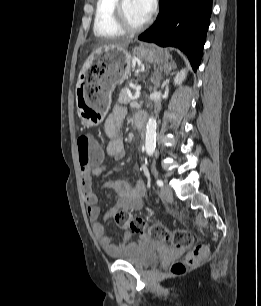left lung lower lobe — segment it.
I'll use <instances>...</instances> for the list:
<instances>
[{
	"mask_svg": "<svg viewBox=\"0 0 261 306\" xmlns=\"http://www.w3.org/2000/svg\"><path fill=\"white\" fill-rule=\"evenodd\" d=\"M212 0H160L155 23L138 39L162 47L173 46L187 54L194 71L200 65Z\"/></svg>",
	"mask_w": 261,
	"mask_h": 306,
	"instance_id": "1",
	"label": "left lung lower lobe"
}]
</instances>
